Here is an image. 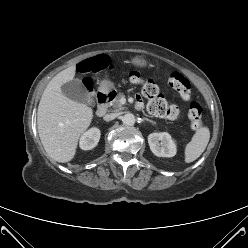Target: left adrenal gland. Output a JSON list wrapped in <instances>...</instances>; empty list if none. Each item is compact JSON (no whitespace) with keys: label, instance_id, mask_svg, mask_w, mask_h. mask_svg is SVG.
Instances as JSON below:
<instances>
[{"label":"left adrenal gland","instance_id":"obj_1","mask_svg":"<svg viewBox=\"0 0 248 248\" xmlns=\"http://www.w3.org/2000/svg\"><path fill=\"white\" fill-rule=\"evenodd\" d=\"M144 120H146V121H148V122H150V123H153V121L150 120V119H148V118H144Z\"/></svg>","mask_w":248,"mask_h":248}]
</instances>
